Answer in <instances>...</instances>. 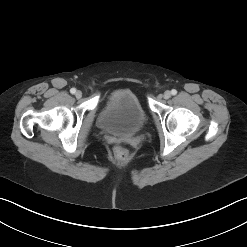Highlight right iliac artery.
<instances>
[{"label": "right iliac artery", "instance_id": "82829eb1", "mask_svg": "<svg viewBox=\"0 0 247 247\" xmlns=\"http://www.w3.org/2000/svg\"><path fill=\"white\" fill-rule=\"evenodd\" d=\"M70 92H71L72 94H74V93L76 92V89H75V88H71V89H70Z\"/></svg>", "mask_w": 247, "mask_h": 247}]
</instances>
